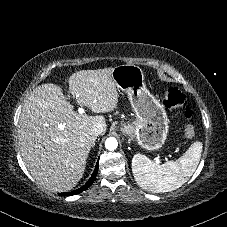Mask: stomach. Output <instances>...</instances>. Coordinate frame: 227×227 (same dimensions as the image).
<instances>
[{
  "label": "stomach",
  "instance_id": "0dacf381",
  "mask_svg": "<svg viewBox=\"0 0 227 227\" xmlns=\"http://www.w3.org/2000/svg\"><path fill=\"white\" fill-rule=\"evenodd\" d=\"M116 87L129 96L136 119L123 123L121 131L139 146L159 150L165 143L169 119L163 105L147 89L145 74L137 65L124 64L113 68Z\"/></svg>",
  "mask_w": 227,
  "mask_h": 227
}]
</instances>
